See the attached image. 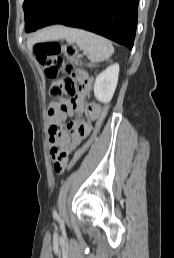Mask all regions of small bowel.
Here are the masks:
<instances>
[{
    "mask_svg": "<svg viewBox=\"0 0 174 258\" xmlns=\"http://www.w3.org/2000/svg\"><path fill=\"white\" fill-rule=\"evenodd\" d=\"M92 79L87 74L81 75L80 93L76 100L67 99L54 100L48 108V132L49 145L53 158L54 175H66L63 170L68 162L71 149L79 145L86 137L89 136L96 118H84L80 123L71 120L66 124L67 117L74 112H82L84 97L91 85ZM86 117H98L100 113L99 100H90L86 106ZM69 133L72 135V143ZM55 147H60L56 149Z\"/></svg>",
    "mask_w": 174,
    "mask_h": 258,
    "instance_id": "small-bowel-1",
    "label": "small bowel"
}]
</instances>
